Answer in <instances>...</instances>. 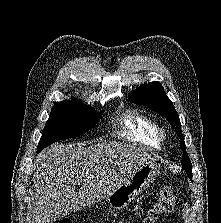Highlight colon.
I'll list each match as a JSON object with an SVG mask.
<instances>
[{
	"label": "colon",
	"mask_w": 221,
	"mask_h": 223,
	"mask_svg": "<svg viewBox=\"0 0 221 223\" xmlns=\"http://www.w3.org/2000/svg\"><path fill=\"white\" fill-rule=\"evenodd\" d=\"M176 205L175 193L171 188H164L154 204L148 209L142 223H156L162 216L170 213ZM58 223H71L69 218L60 219Z\"/></svg>",
	"instance_id": "obj_1"
}]
</instances>
